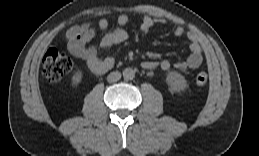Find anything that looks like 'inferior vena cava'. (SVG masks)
I'll return each instance as SVG.
<instances>
[{"instance_id": "inferior-vena-cava-1", "label": "inferior vena cava", "mask_w": 259, "mask_h": 156, "mask_svg": "<svg viewBox=\"0 0 259 156\" xmlns=\"http://www.w3.org/2000/svg\"><path fill=\"white\" fill-rule=\"evenodd\" d=\"M120 78H121V73L118 72V71H114V72H111V73L107 76V81H108L109 83H112V82L118 81Z\"/></svg>"}]
</instances>
